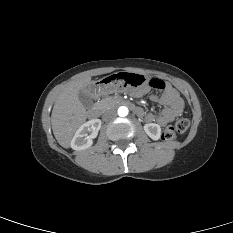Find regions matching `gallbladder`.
I'll list each match as a JSON object with an SVG mask.
<instances>
[{
	"label": "gallbladder",
	"mask_w": 233,
	"mask_h": 233,
	"mask_svg": "<svg viewBox=\"0 0 233 233\" xmlns=\"http://www.w3.org/2000/svg\"><path fill=\"white\" fill-rule=\"evenodd\" d=\"M80 102L84 105L85 108L89 109L93 105V98L87 94L85 91L80 90L78 94Z\"/></svg>",
	"instance_id": "1"
}]
</instances>
